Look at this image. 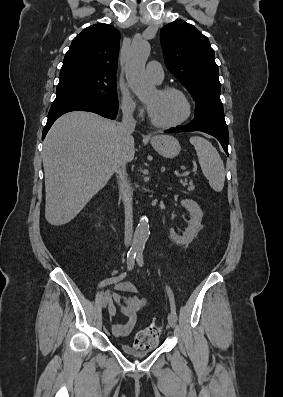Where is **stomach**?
Listing matches in <instances>:
<instances>
[{
	"mask_svg": "<svg viewBox=\"0 0 283 397\" xmlns=\"http://www.w3.org/2000/svg\"><path fill=\"white\" fill-rule=\"evenodd\" d=\"M151 144L153 148L165 158H174L181 150L178 140L170 135L154 136L151 138Z\"/></svg>",
	"mask_w": 283,
	"mask_h": 397,
	"instance_id": "obj_1",
	"label": "stomach"
}]
</instances>
